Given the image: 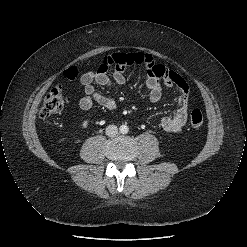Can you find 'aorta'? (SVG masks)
Wrapping results in <instances>:
<instances>
[{
	"label": "aorta",
	"instance_id": "aorta-1",
	"mask_svg": "<svg viewBox=\"0 0 247 247\" xmlns=\"http://www.w3.org/2000/svg\"><path fill=\"white\" fill-rule=\"evenodd\" d=\"M119 130H120V132H121L122 134H127L128 131H129V128H128L127 125H121L120 128H119Z\"/></svg>",
	"mask_w": 247,
	"mask_h": 247
}]
</instances>
